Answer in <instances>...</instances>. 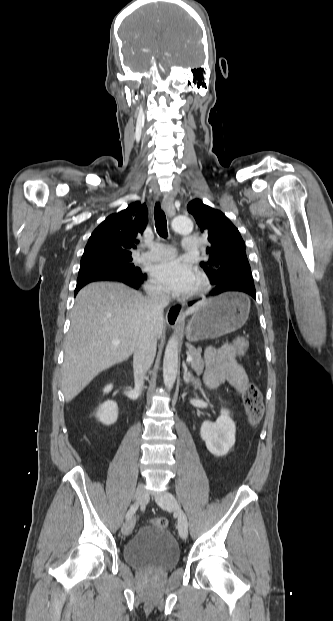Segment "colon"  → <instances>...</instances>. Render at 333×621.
Returning <instances> with one entry per match:
<instances>
[{"instance_id": "colon-1", "label": "colon", "mask_w": 333, "mask_h": 621, "mask_svg": "<svg viewBox=\"0 0 333 621\" xmlns=\"http://www.w3.org/2000/svg\"><path fill=\"white\" fill-rule=\"evenodd\" d=\"M247 349V342L243 339L235 343V351L238 356H243ZM244 406L251 423H256L262 417L264 411L263 396L259 388L249 383L243 392ZM151 523L157 527L166 528L168 522L165 518L159 517L151 520Z\"/></svg>"}]
</instances>
